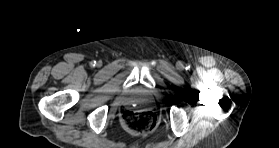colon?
<instances>
[{
    "instance_id": "5ec220e1",
    "label": "colon",
    "mask_w": 279,
    "mask_h": 148,
    "mask_svg": "<svg viewBox=\"0 0 279 148\" xmlns=\"http://www.w3.org/2000/svg\"><path fill=\"white\" fill-rule=\"evenodd\" d=\"M124 127L134 134L152 131L157 125V116L151 111H126L123 114Z\"/></svg>"
}]
</instances>
